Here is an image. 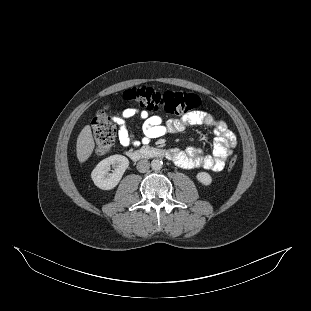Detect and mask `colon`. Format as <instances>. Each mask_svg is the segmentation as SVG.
Segmentation results:
<instances>
[{"instance_id":"1","label":"colon","mask_w":311,"mask_h":311,"mask_svg":"<svg viewBox=\"0 0 311 311\" xmlns=\"http://www.w3.org/2000/svg\"><path fill=\"white\" fill-rule=\"evenodd\" d=\"M123 99L138 104L140 107L154 112L169 115H182L196 109L200 105L198 95L185 91H157L150 87L132 88L123 93ZM95 137V152L106 154L111 150L116 139V127L107 109L97 113L92 120ZM237 164V157L233 156L228 168L233 169Z\"/></svg>"}]
</instances>
